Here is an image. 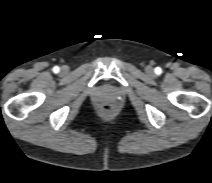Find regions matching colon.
Listing matches in <instances>:
<instances>
[{
	"mask_svg": "<svg viewBox=\"0 0 212 183\" xmlns=\"http://www.w3.org/2000/svg\"><path fill=\"white\" fill-rule=\"evenodd\" d=\"M113 111V106L109 103L103 105V112L110 114Z\"/></svg>",
	"mask_w": 212,
	"mask_h": 183,
	"instance_id": "1",
	"label": "colon"
}]
</instances>
